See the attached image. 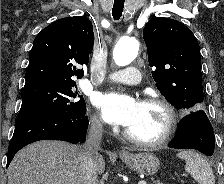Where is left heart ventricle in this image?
<instances>
[{
  "label": "left heart ventricle",
  "mask_w": 224,
  "mask_h": 184,
  "mask_svg": "<svg viewBox=\"0 0 224 184\" xmlns=\"http://www.w3.org/2000/svg\"><path fill=\"white\" fill-rule=\"evenodd\" d=\"M166 120L161 107L141 103L135 121L127 129L139 139L153 140L162 134Z\"/></svg>",
  "instance_id": "b2bd125f"
}]
</instances>
